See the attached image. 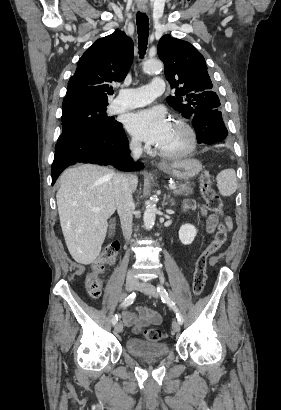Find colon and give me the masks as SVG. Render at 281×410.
I'll return each instance as SVG.
<instances>
[{
  "label": "colon",
  "instance_id": "5ec220e1",
  "mask_svg": "<svg viewBox=\"0 0 281 410\" xmlns=\"http://www.w3.org/2000/svg\"><path fill=\"white\" fill-rule=\"evenodd\" d=\"M201 192L205 199L207 210L218 214L221 217V223L214 239L208 247L197 257L195 270L193 274V294L199 297L205 287L206 269L209 257L217 252L228 239V226L230 219L223 212V205L220 196L212 186V177L209 171H204L200 178ZM118 243L106 245L101 251L100 256L92 265V271L85 277V287L92 298H99L102 292V280L100 273L103 271L104 265H111L115 262L118 251ZM144 335L149 341H160L166 337V333L156 328H148L144 331Z\"/></svg>",
  "mask_w": 281,
  "mask_h": 410
}]
</instances>
